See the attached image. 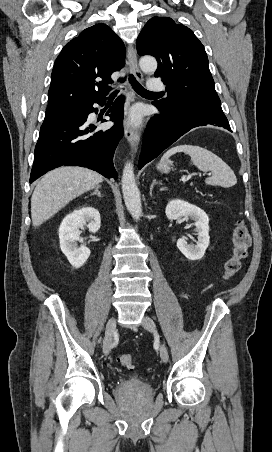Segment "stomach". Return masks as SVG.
Segmentation results:
<instances>
[{"label": "stomach", "mask_w": 272, "mask_h": 452, "mask_svg": "<svg viewBox=\"0 0 272 452\" xmlns=\"http://www.w3.org/2000/svg\"><path fill=\"white\" fill-rule=\"evenodd\" d=\"M169 165H170V161L169 160H164V161H161L157 165V168H158V170H160L162 172H167L169 170Z\"/></svg>", "instance_id": "obj_1"}]
</instances>
